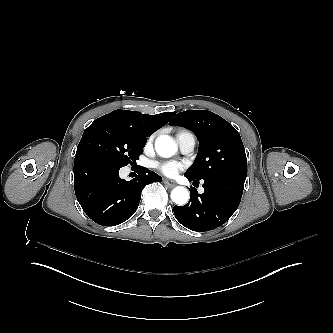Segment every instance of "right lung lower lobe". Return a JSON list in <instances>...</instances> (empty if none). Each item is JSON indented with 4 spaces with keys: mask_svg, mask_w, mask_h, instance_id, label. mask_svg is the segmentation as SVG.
Returning <instances> with one entry per match:
<instances>
[{
    "mask_svg": "<svg viewBox=\"0 0 333 333\" xmlns=\"http://www.w3.org/2000/svg\"><path fill=\"white\" fill-rule=\"evenodd\" d=\"M119 169L93 153L75 155L77 200L88 217L102 226H115L129 219L139 205L144 186L162 181L155 172L140 166L136 178L126 181L119 177Z\"/></svg>",
    "mask_w": 333,
    "mask_h": 333,
    "instance_id": "right-lung-lower-lobe-1",
    "label": "right lung lower lobe"
}]
</instances>
